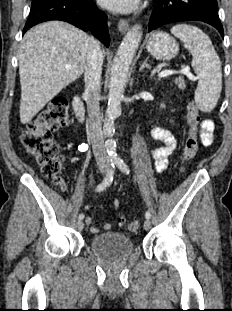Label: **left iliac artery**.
<instances>
[{
	"label": "left iliac artery",
	"mask_w": 232,
	"mask_h": 311,
	"mask_svg": "<svg viewBox=\"0 0 232 311\" xmlns=\"http://www.w3.org/2000/svg\"><path fill=\"white\" fill-rule=\"evenodd\" d=\"M114 162L115 164L117 165V167L125 174H129L130 170L127 166V164L120 158V157H117L114 159ZM145 217L147 219H150L151 218V213L149 211H147L145 213Z\"/></svg>",
	"instance_id": "44dca946"
}]
</instances>
